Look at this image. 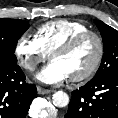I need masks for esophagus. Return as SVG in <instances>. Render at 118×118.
<instances>
[{"label": "esophagus", "mask_w": 118, "mask_h": 118, "mask_svg": "<svg viewBox=\"0 0 118 118\" xmlns=\"http://www.w3.org/2000/svg\"><path fill=\"white\" fill-rule=\"evenodd\" d=\"M37 91L39 94H49V93L53 92V90L45 89V88H42L40 86L37 87Z\"/></svg>", "instance_id": "1"}]
</instances>
